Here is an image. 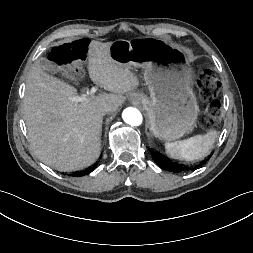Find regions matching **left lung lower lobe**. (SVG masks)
<instances>
[{"instance_id":"left-lung-lower-lobe-1","label":"left lung lower lobe","mask_w":253,"mask_h":253,"mask_svg":"<svg viewBox=\"0 0 253 253\" xmlns=\"http://www.w3.org/2000/svg\"><path fill=\"white\" fill-rule=\"evenodd\" d=\"M153 159L154 161L159 165V167H161L162 169L168 170L170 172H181L184 170L183 167L176 165L175 163L169 161L168 159L161 157L155 153H152ZM204 162H202L200 165L204 164ZM199 166V165H198Z\"/></svg>"}]
</instances>
